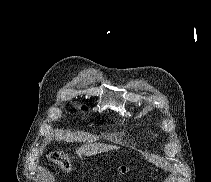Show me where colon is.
<instances>
[{
	"instance_id": "1",
	"label": "colon",
	"mask_w": 211,
	"mask_h": 182,
	"mask_svg": "<svg viewBox=\"0 0 211 182\" xmlns=\"http://www.w3.org/2000/svg\"><path fill=\"white\" fill-rule=\"evenodd\" d=\"M48 157L51 162L58 165L64 171L70 172L72 170L71 160L64 156L61 152L53 151L49 153Z\"/></svg>"
}]
</instances>
